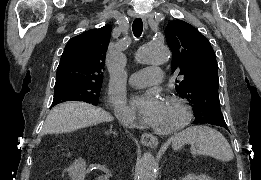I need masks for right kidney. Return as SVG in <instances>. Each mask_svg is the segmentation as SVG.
<instances>
[{
    "mask_svg": "<svg viewBox=\"0 0 261 180\" xmlns=\"http://www.w3.org/2000/svg\"><path fill=\"white\" fill-rule=\"evenodd\" d=\"M68 172L71 174L73 180H78L79 176L81 180H84L85 162H78V164H74L72 168H68Z\"/></svg>",
    "mask_w": 261,
    "mask_h": 180,
    "instance_id": "obj_1",
    "label": "right kidney"
}]
</instances>
